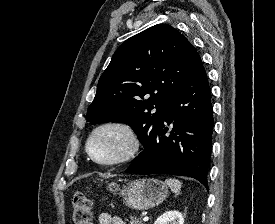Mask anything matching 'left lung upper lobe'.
<instances>
[{
	"instance_id": "1",
	"label": "left lung upper lobe",
	"mask_w": 275,
	"mask_h": 224,
	"mask_svg": "<svg viewBox=\"0 0 275 224\" xmlns=\"http://www.w3.org/2000/svg\"><path fill=\"white\" fill-rule=\"evenodd\" d=\"M202 66L200 55L178 30L152 26L116 50L99 79L87 120L129 124L145 144L171 98Z\"/></svg>"
}]
</instances>
